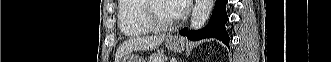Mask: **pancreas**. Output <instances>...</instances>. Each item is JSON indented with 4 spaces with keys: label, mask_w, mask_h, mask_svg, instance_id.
I'll return each instance as SVG.
<instances>
[{
    "label": "pancreas",
    "mask_w": 331,
    "mask_h": 62,
    "mask_svg": "<svg viewBox=\"0 0 331 62\" xmlns=\"http://www.w3.org/2000/svg\"><path fill=\"white\" fill-rule=\"evenodd\" d=\"M166 57L163 54H153L150 56L149 62H164Z\"/></svg>",
    "instance_id": "cf45deb5"
}]
</instances>
